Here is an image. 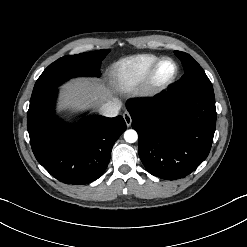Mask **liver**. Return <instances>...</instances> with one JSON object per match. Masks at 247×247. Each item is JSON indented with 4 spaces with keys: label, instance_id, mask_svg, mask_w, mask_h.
Returning a JSON list of instances; mask_svg holds the SVG:
<instances>
[{
    "label": "liver",
    "instance_id": "1",
    "mask_svg": "<svg viewBox=\"0 0 247 247\" xmlns=\"http://www.w3.org/2000/svg\"><path fill=\"white\" fill-rule=\"evenodd\" d=\"M60 96V109H79L102 106L111 97L110 90L102 83L89 79H75L64 84Z\"/></svg>",
    "mask_w": 247,
    "mask_h": 247
}]
</instances>
